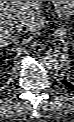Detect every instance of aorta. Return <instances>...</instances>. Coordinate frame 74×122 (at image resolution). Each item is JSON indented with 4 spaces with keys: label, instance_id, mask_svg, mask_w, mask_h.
I'll list each match as a JSON object with an SVG mask.
<instances>
[{
    "label": "aorta",
    "instance_id": "aorta-1",
    "mask_svg": "<svg viewBox=\"0 0 74 122\" xmlns=\"http://www.w3.org/2000/svg\"><path fill=\"white\" fill-rule=\"evenodd\" d=\"M42 61L48 70L58 71L64 66L65 57L60 50L50 47L44 51Z\"/></svg>",
    "mask_w": 74,
    "mask_h": 122
}]
</instances>
